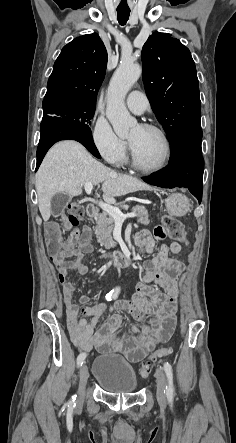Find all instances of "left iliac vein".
Wrapping results in <instances>:
<instances>
[{
    "instance_id": "1",
    "label": "left iliac vein",
    "mask_w": 236,
    "mask_h": 443,
    "mask_svg": "<svg viewBox=\"0 0 236 443\" xmlns=\"http://www.w3.org/2000/svg\"><path fill=\"white\" fill-rule=\"evenodd\" d=\"M156 381H157V401L162 410L166 408V377L161 368L156 370Z\"/></svg>"
}]
</instances>
